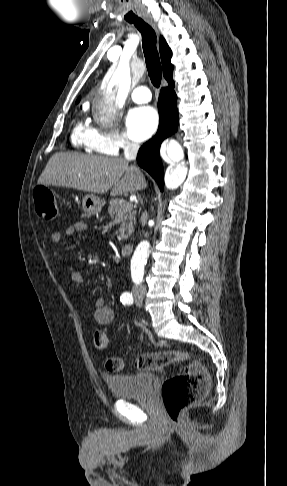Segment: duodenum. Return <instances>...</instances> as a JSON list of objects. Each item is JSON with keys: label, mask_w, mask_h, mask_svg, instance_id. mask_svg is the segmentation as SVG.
Segmentation results:
<instances>
[{"label": "duodenum", "mask_w": 287, "mask_h": 486, "mask_svg": "<svg viewBox=\"0 0 287 486\" xmlns=\"http://www.w3.org/2000/svg\"><path fill=\"white\" fill-rule=\"evenodd\" d=\"M133 246L131 243L124 244L120 249V254L123 257H127L131 254Z\"/></svg>", "instance_id": "1"}]
</instances>
